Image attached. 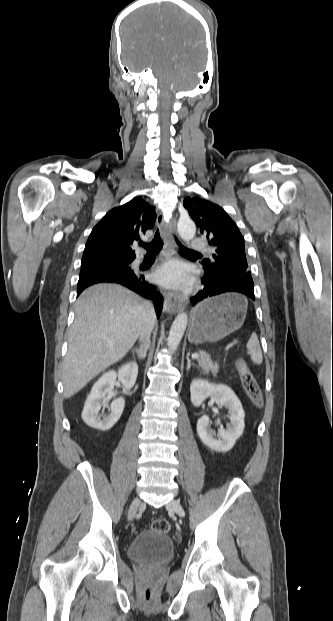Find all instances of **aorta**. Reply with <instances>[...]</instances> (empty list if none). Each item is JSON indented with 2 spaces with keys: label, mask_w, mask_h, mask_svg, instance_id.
Listing matches in <instances>:
<instances>
[{
  "label": "aorta",
  "mask_w": 333,
  "mask_h": 621,
  "mask_svg": "<svg viewBox=\"0 0 333 621\" xmlns=\"http://www.w3.org/2000/svg\"><path fill=\"white\" fill-rule=\"evenodd\" d=\"M180 237L185 241H190L196 233L195 223L191 219H180L177 225ZM188 323V315L180 312L174 319L168 336V348L175 351L184 335Z\"/></svg>",
  "instance_id": "aorta-1"
}]
</instances>
